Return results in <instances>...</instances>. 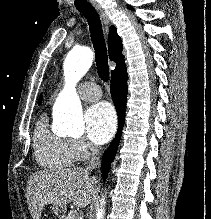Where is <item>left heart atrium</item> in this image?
Returning <instances> with one entry per match:
<instances>
[{
  "label": "left heart atrium",
  "mask_w": 211,
  "mask_h": 219,
  "mask_svg": "<svg viewBox=\"0 0 211 219\" xmlns=\"http://www.w3.org/2000/svg\"><path fill=\"white\" fill-rule=\"evenodd\" d=\"M85 124L87 136L92 142L106 143L116 130L117 118L114 109L106 102L93 105L85 114Z\"/></svg>",
  "instance_id": "left-heart-atrium-1"
}]
</instances>
